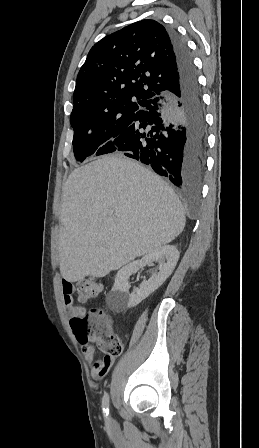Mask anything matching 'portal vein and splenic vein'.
<instances>
[{
  "label": "portal vein and splenic vein",
  "instance_id": "portal-vein-and-splenic-vein-1",
  "mask_svg": "<svg viewBox=\"0 0 259 448\" xmlns=\"http://www.w3.org/2000/svg\"><path fill=\"white\" fill-rule=\"evenodd\" d=\"M113 214V210H110V212H108V216H112Z\"/></svg>",
  "mask_w": 259,
  "mask_h": 448
}]
</instances>
